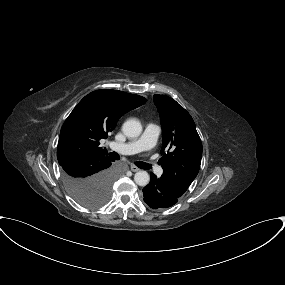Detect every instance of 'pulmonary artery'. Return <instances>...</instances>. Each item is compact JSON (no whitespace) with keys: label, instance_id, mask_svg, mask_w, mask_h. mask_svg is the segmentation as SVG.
I'll use <instances>...</instances> for the list:
<instances>
[{"label":"pulmonary artery","instance_id":"obj_1","mask_svg":"<svg viewBox=\"0 0 285 285\" xmlns=\"http://www.w3.org/2000/svg\"><path fill=\"white\" fill-rule=\"evenodd\" d=\"M160 133V126L153 122H150L145 126V130L140 138L130 140L125 143L113 142L110 144V146L111 148L122 154H133L140 151H147L155 145ZM147 164L151 165V168L153 167L152 161H148ZM154 171L158 175L162 174L161 166L154 165Z\"/></svg>","mask_w":285,"mask_h":285}]
</instances>
